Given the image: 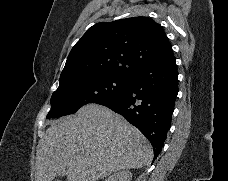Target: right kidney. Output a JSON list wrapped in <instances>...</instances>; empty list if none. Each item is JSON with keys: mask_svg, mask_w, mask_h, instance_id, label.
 <instances>
[{"mask_svg": "<svg viewBox=\"0 0 228 181\" xmlns=\"http://www.w3.org/2000/svg\"><path fill=\"white\" fill-rule=\"evenodd\" d=\"M107 181H132V173L128 169H123V171H117L108 177Z\"/></svg>", "mask_w": 228, "mask_h": 181, "instance_id": "ca27d5eb", "label": "right kidney"}]
</instances>
